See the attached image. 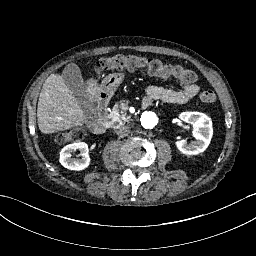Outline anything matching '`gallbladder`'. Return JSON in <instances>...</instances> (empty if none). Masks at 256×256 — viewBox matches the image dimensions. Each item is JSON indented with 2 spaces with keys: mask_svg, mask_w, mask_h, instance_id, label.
Segmentation results:
<instances>
[{
  "mask_svg": "<svg viewBox=\"0 0 256 256\" xmlns=\"http://www.w3.org/2000/svg\"><path fill=\"white\" fill-rule=\"evenodd\" d=\"M63 81L76 97L77 101L84 108L85 117L88 121L96 120V110L90 103L84 92V79L78 64L70 62L65 65L62 71Z\"/></svg>",
  "mask_w": 256,
  "mask_h": 256,
  "instance_id": "gallbladder-1",
  "label": "gallbladder"
}]
</instances>
